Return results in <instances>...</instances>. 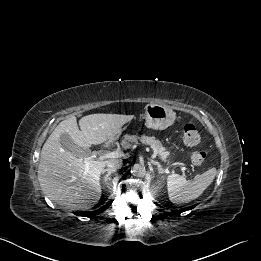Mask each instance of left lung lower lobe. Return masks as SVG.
<instances>
[{"label": "left lung lower lobe", "instance_id": "1", "mask_svg": "<svg viewBox=\"0 0 261 261\" xmlns=\"http://www.w3.org/2000/svg\"><path fill=\"white\" fill-rule=\"evenodd\" d=\"M157 205H158V204H157ZM194 207H195V205H194V206L187 207V208H185V209L176 210V213H181V212H183V211H185V210H190V209H192V208H194Z\"/></svg>", "mask_w": 261, "mask_h": 261}]
</instances>
